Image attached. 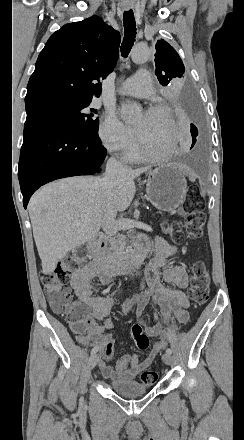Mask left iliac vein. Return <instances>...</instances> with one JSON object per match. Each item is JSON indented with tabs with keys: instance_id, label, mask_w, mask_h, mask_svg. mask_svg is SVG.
I'll list each match as a JSON object with an SVG mask.
<instances>
[{
	"instance_id": "4c4485c4",
	"label": "left iliac vein",
	"mask_w": 244,
	"mask_h": 440,
	"mask_svg": "<svg viewBox=\"0 0 244 440\" xmlns=\"http://www.w3.org/2000/svg\"><path fill=\"white\" fill-rule=\"evenodd\" d=\"M162 360L165 364L171 365L172 364V356L169 353H164L162 355Z\"/></svg>"
}]
</instances>
